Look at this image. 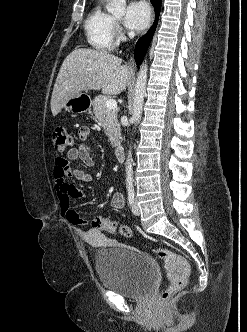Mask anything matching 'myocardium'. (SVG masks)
<instances>
[{
  "instance_id": "obj_1",
  "label": "myocardium",
  "mask_w": 247,
  "mask_h": 332,
  "mask_svg": "<svg viewBox=\"0 0 247 332\" xmlns=\"http://www.w3.org/2000/svg\"><path fill=\"white\" fill-rule=\"evenodd\" d=\"M114 30H115V33H116V23H115V28H114Z\"/></svg>"
}]
</instances>
